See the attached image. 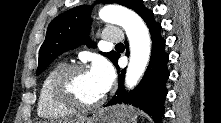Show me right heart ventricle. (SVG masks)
<instances>
[{"label":"right heart ventricle","mask_w":221,"mask_h":123,"mask_svg":"<svg viewBox=\"0 0 221 123\" xmlns=\"http://www.w3.org/2000/svg\"><path fill=\"white\" fill-rule=\"evenodd\" d=\"M65 66L59 63L53 66L45 75L38 98L37 113L45 119H64L73 115L74 111L60 105L52 94V81L56 73Z\"/></svg>","instance_id":"obj_1"}]
</instances>
